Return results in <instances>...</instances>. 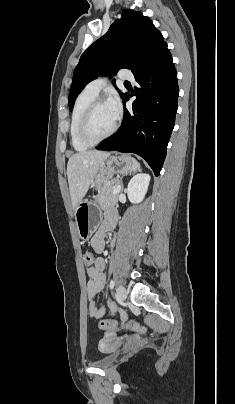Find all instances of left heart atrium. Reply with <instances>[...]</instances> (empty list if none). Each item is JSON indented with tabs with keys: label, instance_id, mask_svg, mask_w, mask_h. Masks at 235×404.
I'll list each match as a JSON object with an SVG mask.
<instances>
[{
	"label": "left heart atrium",
	"instance_id": "left-heart-atrium-1",
	"mask_svg": "<svg viewBox=\"0 0 235 404\" xmlns=\"http://www.w3.org/2000/svg\"><path fill=\"white\" fill-rule=\"evenodd\" d=\"M106 105L112 112V114L117 118L121 113V103L116 95H112L106 101Z\"/></svg>",
	"mask_w": 235,
	"mask_h": 404
}]
</instances>
